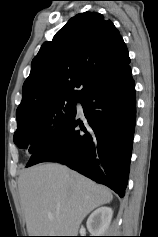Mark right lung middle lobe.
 <instances>
[{
    "label": "right lung middle lobe",
    "mask_w": 158,
    "mask_h": 237,
    "mask_svg": "<svg viewBox=\"0 0 158 237\" xmlns=\"http://www.w3.org/2000/svg\"><path fill=\"white\" fill-rule=\"evenodd\" d=\"M77 99H56L42 108L17 117L14 142L31 157L41 144L76 114Z\"/></svg>",
    "instance_id": "dd1d6c3e"
}]
</instances>
